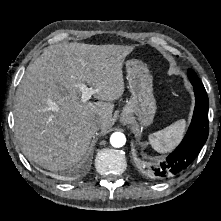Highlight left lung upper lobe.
I'll list each match as a JSON object with an SVG mask.
<instances>
[{
	"mask_svg": "<svg viewBox=\"0 0 221 221\" xmlns=\"http://www.w3.org/2000/svg\"><path fill=\"white\" fill-rule=\"evenodd\" d=\"M188 77L191 81L192 85L198 86V87H204L200 79L198 78L197 74L192 70L188 69Z\"/></svg>",
	"mask_w": 221,
	"mask_h": 221,
	"instance_id": "5c2ea615",
	"label": "left lung upper lobe"
}]
</instances>
